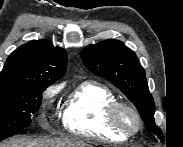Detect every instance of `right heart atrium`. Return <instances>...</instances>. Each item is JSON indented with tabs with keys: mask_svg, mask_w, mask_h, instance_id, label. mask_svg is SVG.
<instances>
[{
	"mask_svg": "<svg viewBox=\"0 0 183 147\" xmlns=\"http://www.w3.org/2000/svg\"><path fill=\"white\" fill-rule=\"evenodd\" d=\"M58 92V88L56 86L49 87L45 92L43 93V99L47 104H50L53 102L56 94ZM47 115H50L48 108H44L41 112L42 117H46Z\"/></svg>",
	"mask_w": 183,
	"mask_h": 147,
	"instance_id": "1",
	"label": "right heart atrium"
}]
</instances>
